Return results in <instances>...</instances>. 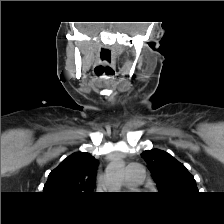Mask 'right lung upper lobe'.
<instances>
[{"label":"right lung upper lobe","instance_id":"cb5924a9","mask_svg":"<svg viewBox=\"0 0 224 224\" xmlns=\"http://www.w3.org/2000/svg\"><path fill=\"white\" fill-rule=\"evenodd\" d=\"M98 161L89 153L76 152L52 170L43 191L60 194L92 193Z\"/></svg>","mask_w":224,"mask_h":224}]
</instances>
